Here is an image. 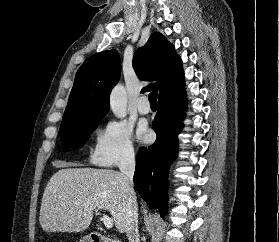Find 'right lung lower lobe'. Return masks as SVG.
Here are the masks:
<instances>
[{
    "mask_svg": "<svg viewBox=\"0 0 279 242\" xmlns=\"http://www.w3.org/2000/svg\"><path fill=\"white\" fill-rule=\"evenodd\" d=\"M186 111L184 87L158 100L153 120L155 143L138 151L134 184L140 196L164 216L167 211L168 168L177 155L178 133Z\"/></svg>",
    "mask_w": 279,
    "mask_h": 242,
    "instance_id": "right-lung-lower-lobe-1",
    "label": "right lung lower lobe"
}]
</instances>
